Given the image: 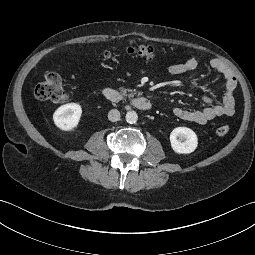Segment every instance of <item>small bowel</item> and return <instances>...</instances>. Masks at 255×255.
Listing matches in <instances>:
<instances>
[{"mask_svg": "<svg viewBox=\"0 0 255 255\" xmlns=\"http://www.w3.org/2000/svg\"><path fill=\"white\" fill-rule=\"evenodd\" d=\"M209 66L220 73L224 78L225 88L222 103H215L210 94H205L202 99L208 106L199 110H188L179 107L175 108L173 113L177 118L197 124H206L216 118L234 114L235 90L237 87V79L234 73L220 59H212L209 62ZM198 67V59L190 57L183 62L171 65L169 67V72L172 75H181L184 73L195 72Z\"/></svg>", "mask_w": 255, "mask_h": 255, "instance_id": "obj_1", "label": "small bowel"}]
</instances>
